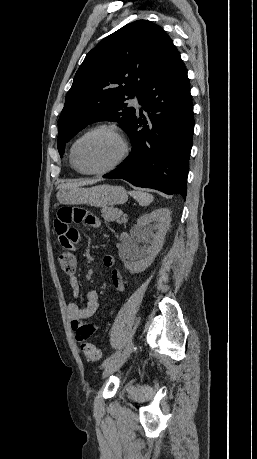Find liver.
Listing matches in <instances>:
<instances>
[{
    "mask_svg": "<svg viewBox=\"0 0 257 459\" xmlns=\"http://www.w3.org/2000/svg\"><path fill=\"white\" fill-rule=\"evenodd\" d=\"M98 182V180L90 179V180H76L72 182H68L65 184H60L57 189H66V188H73V187H80L85 185H92Z\"/></svg>",
    "mask_w": 257,
    "mask_h": 459,
    "instance_id": "6515ba94",
    "label": "liver"
}]
</instances>
